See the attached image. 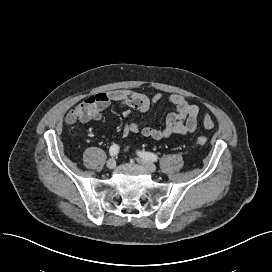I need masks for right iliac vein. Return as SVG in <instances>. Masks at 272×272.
I'll return each mask as SVG.
<instances>
[{
  "label": "right iliac vein",
  "mask_w": 272,
  "mask_h": 272,
  "mask_svg": "<svg viewBox=\"0 0 272 272\" xmlns=\"http://www.w3.org/2000/svg\"><path fill=\"white\" fill-rule=\"evenodd\" d=\"M116 167V161L114 158H111L107 161V168L113 170Z\"/></svg>",
  "instance_id": "obj_1"
}]
</instances>
